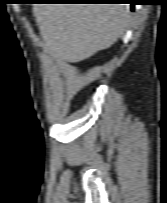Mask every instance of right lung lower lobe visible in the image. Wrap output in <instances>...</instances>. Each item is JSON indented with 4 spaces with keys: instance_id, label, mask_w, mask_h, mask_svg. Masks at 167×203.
<instances>
[{
    "instance_id": "right-lung-lower-lobe-1",
    "label": "right lung lower lobe",
    "mask_w": 167,
    "mask_h": 203,
    "mask_svg": "<svg viewBox=\"0 0 167 203\" xmlns=\"http://www.w3.org/2000/svg\"><path fill=\"white\" fill-rule=\"evenodd\" d=\"M109 1H115V2H98V3H130L131 11H134L135 3L132 0L131 1L129 0L130 2H126L128 0H109Z\"/></svg>"
}]
</instances>
